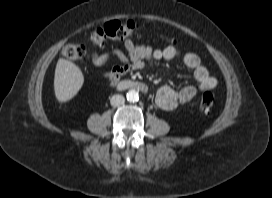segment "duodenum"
<instances>
[{"instance_id": "obj_1", "label": "duodenum", "mask_w": 272, "mask_h": 198, "mask_svg": "<svg viewBox=\"0 0 272 198\" xmlns=\"http://www.w3.org/2000/svg\"><path fill=\"white\" fill-rule=\"evenodd\" d=\"M117 88L119 90H126V89H134L141 92H147L148 88L147 85L140 81H134V80H124L117 84Z\"/></svg>"}]
</instances>
